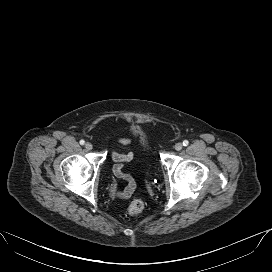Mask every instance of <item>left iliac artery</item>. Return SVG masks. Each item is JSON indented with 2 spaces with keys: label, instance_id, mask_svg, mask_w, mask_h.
Wrapping results in <instances>:
<instances>
[{
  "label": "left iliac artery",
  "instance_id": "obj_1",
  "mask_svg": "<svg viewBox=\"0 0 272 272\" xmlns=\"http://www.w3.org/2000/svg\"><path fill=\"white\" fill-rule=\"evenodd\" d=\"M189 144V141L188 140H184L183 141V146H187Z\"/></svg>",
  "mask_w": 272,
  "mask_h": 272
}]
</instances>
